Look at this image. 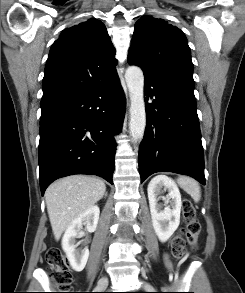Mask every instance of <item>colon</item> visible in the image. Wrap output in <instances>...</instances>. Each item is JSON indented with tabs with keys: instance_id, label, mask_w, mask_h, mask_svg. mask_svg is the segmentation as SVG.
Returning a JSON list of instances; mask_svg holds the SVG:
<instances>
[{
	"instance_id": "5ec220e1",
	"label": "colon",
	"mask_w": 245,
	"mask_h": 293,
	"mask_svg": "<svg viewBox=\"0 0 245 293\" xmlns=\"http://www.w3.org/2000/svg\"><path fill=\"white\" fill-rule=\"evenodd\" d=\"M182 213L186 228L179 231L171 242L172 252L177 258L185 254L186 242L196 247L201 232V224L196 218L195 209L189 200L182 202ZM46 261L54 283L59 287H68L72 284L73 276L63 252L58 248L48 250Z\"/></svg>"
}]
</instances>
